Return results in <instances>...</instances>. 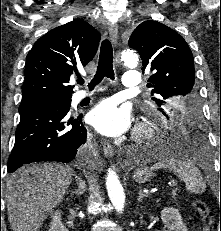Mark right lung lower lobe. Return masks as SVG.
Returning <instances> with one entry per match:
<instances>
[{
    "instance_id": "1",
    "label": "right lung lower lobe",
    "mask_w": 221,
    "mask_h": 231,
    "mask_svg": "<svg viewBox=\"0 0 221 231\" xmlns=\"http://www.w3.org/2000/svg\"><path fill=\"white\" fill-rule=\"evenodd\" d=\"M70 102L45 103L20 112L16 139L8 159V172L40 161L68 163L85 144L87 131L80 116L70 115Z\"/></svg>"
}]
</instances>
